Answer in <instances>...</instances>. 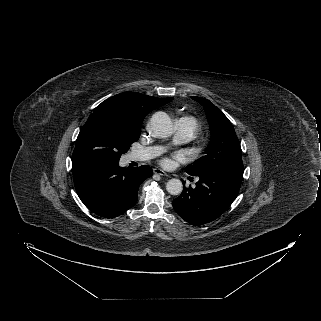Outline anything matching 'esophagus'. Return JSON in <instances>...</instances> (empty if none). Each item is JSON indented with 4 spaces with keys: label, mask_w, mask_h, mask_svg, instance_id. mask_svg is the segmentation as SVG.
Returning a JSON list of instances; mask_svg holds the SVG:
<instances>
[{
    "label": "esophagus",
    "mask_w": 321,
    "mask_h": 321,
    "mask_svg": "<svg viewBox=\"0 0 321 321\" xmlns=\"http://www.w3.org/2000/svg\"><path fill=\"white\" fill-rule=\"evenodd\" d=\"M153 172L155 174H158V175H161V176H168V174L165 171H163L162 169H159V168L153 169Z\"/></svg>",
    "instance_id": "obj_1"
}]
</instances>
